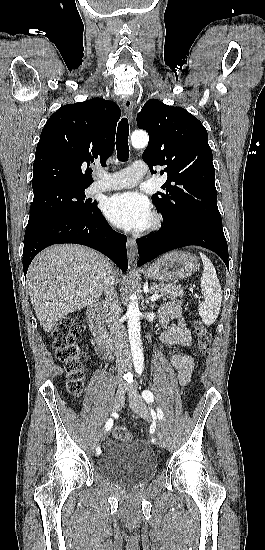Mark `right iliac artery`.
<instances>
[{
	"mask_svg": "<svg viewBox=\"0 0 265 550\" xmlns=\"http://www.w3.org/2000/svg\"><path fill=\"white\" fill-rule=\"evenodd\" d=\"M112 415L115 416L116 414L113 413ZM112 426H113V419L110 418V419H108V421L106 422L105 430H106V431L110 430V429L112 428ZM96 453H97V454H100V453H101L100 447H97V448H96Z\"/></svg>",
	"mask_w": 265,
	"mask_h": 550,
	"instance_id": "1",
	"label": "right iliac artery"
}]
</instances>
